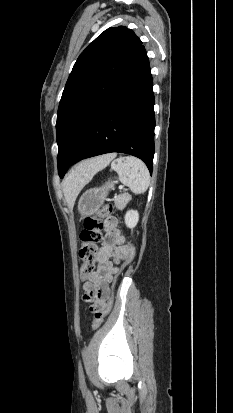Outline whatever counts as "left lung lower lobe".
Returning <instances> with one entry per match:
<instances>
[{"label": "left lung lower lobe", "instance_id": "obj_1", "mask_svg": "<svg viewBox=\"0 0 233 413\" xmlns=\"http://www.w3.org/2000/svg\"><path fill=\"white\" fill-rule=\"evenodd\" d=\"M149 60L144 46L109 99L90 123L70 165L110 152L143 160L152 174L154 156V94Z\"/></svg>", "mask_w": 233, "mask_h": 413}]
</instances>
